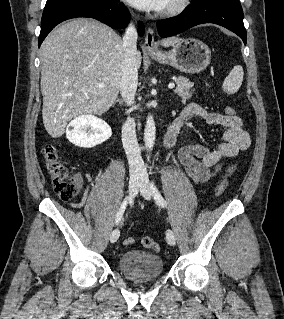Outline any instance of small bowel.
<instances>
[{
	"label": "small bowel",
	"mask_w": 284,
	"mask_h": 319,
	"mask_svg": "<svg viewBox=\"0 0 284 319\" xmlns=\"http://www.w3.org/2000/svg\"><path fill=\"white\" fill-rule=\"evenodd\" d=\"M199 117L212 125L226 127L222 142L210 149L202 144H188L178 151V158L186 175L196 184L207 183L222 169L223 160L235 157L246 150L251 143L250 135L243 128L241 118L211 112L196 103L188 104L173 126L181 131L190 117Z\"/></svg>",
	"instance_id": "1"
}]
</instances>
